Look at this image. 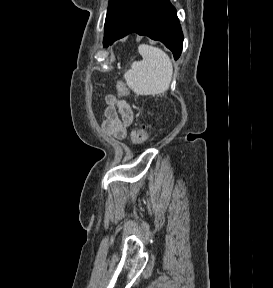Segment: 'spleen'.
Returning <instances> with one entry per match:
<instances>
[{"instance_id":"obj_1","label":"spleen","mask_w":273,"mask_h":288,"mask_svg":"<svg viewBox=\"0 0 273 288\" xmlns=\"http://www.w3.org/2000/svg\"><path fill=\"white\" fill-rule=\"evenodd\" d=\"M141 61H134L124 73L128 87L137 95L165 93L170 86L173 67L169 56L160 48L141 44Z\"/></svg>"}]
</instances>
